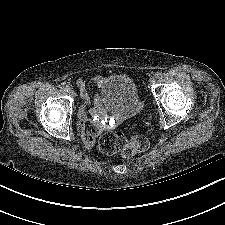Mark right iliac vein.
<instances>
[{"instance_id":"1","label":"right iliac vein","mask_w":225,"mask_h":225,"mask_svg":"<svg viewBox=\"0 0 225 225\" xmlns=\"http://www.w3.org/2000/svg\"><path fill=\"white\" fill-rule=\"evenodd\" d=\"M68 93L72 96L75 97L76 96V92L73 89H69Z\"/></svg>"}]
</instances>
